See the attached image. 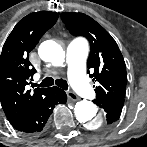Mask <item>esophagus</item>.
Wrapping results in <instances>:
<instances>
[{
  "instance_id": "obj_1",
  "label": "esophagus",
  "mask_w": 147,
  "mask_h": 147,
  "mask_svg": "<svg viewBox=\"0 0 147 147\" xmlns=\"http://www.w3.org/2000/svg\"><path fill=\"white\" fill-rule=\"evenodd\" d=\"M67 97L71 100V101H77L78 100V96L73 92V91H67L66 92Z\"/></svg>"
}]
</instances>
